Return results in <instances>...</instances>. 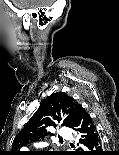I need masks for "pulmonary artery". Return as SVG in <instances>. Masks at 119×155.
<instances>
[{"instance_id":"obj_1","label":"pulmonary artery","mask_w":119,"mask_h":155,"mask_svg":"<svg viewBox=\"0 0 119 155\" xmlns=\"http://www.w3.org/2000/svg\"><path fill=\"white\" fill-rule=\"evenodd\" d=\"M59 134L62 138H70L71 137V133L67 128H61L59 131Z\"/></svg>"}]
</instances>
